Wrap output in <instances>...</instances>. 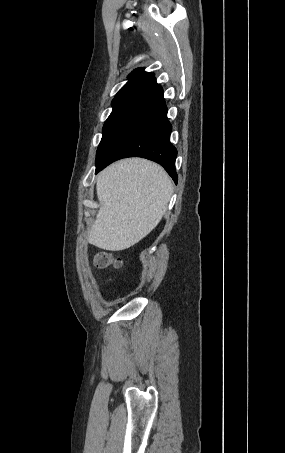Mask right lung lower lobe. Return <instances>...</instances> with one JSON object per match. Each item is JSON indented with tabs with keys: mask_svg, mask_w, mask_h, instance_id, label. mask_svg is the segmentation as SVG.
I'll return each instance as SVG.
<instances>
[{
	"mask_svg": "<svg viewBox=\"0 0 285 453\" xmlns=\"http://www.w3.org/2000/svg\"><path fill=\"white\" fill-rule=\"evenodd\" d=\"M171 131L163 89L154 79L116 112L97 150L96 173L118 159L143 157L163 166L177 184V150L170 142Z\"/></svg>",
	"mask_w": 285,
	"mask_h": 453,
	"instance_id": "98d812e1",
	"label": "right lung lower lobe"
}]
</instances>
